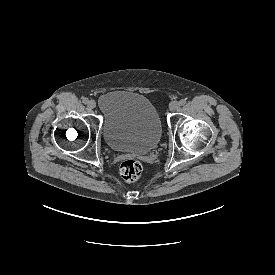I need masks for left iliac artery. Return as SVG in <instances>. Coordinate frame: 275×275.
<instances>
[{
  "label": "left iliac artery",
  "mask_w": 275,
  "mask_h": 275,
  "mask_svg": "<svg viewBox=\"0 0 275 275\" xmlns=\"http://www.w3.org/2000/svg\"><path fill=\"white\" fill-rule=\"evenodd\" d=\"M179 103H180V105H185L186 99H181V100L179 101Z\"/></svg>",
  "instance_id": "left-iliac-artery-1"
}]
</instances>
